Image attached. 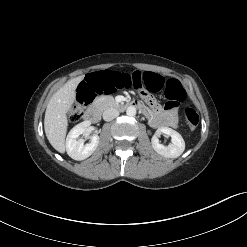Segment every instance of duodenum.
<instances>
[{
	"label": "duodenum",
	"instance_id": "1",
	"mask_svg": "<svg viewBox=\"0 0 247 247\" xmlns=\"http://www.w3.org/2000/svg\"><path fill=\"white\" fill-rule=\"evenodd\" d=\"M118 110H124L127 107H134L137 108L139 110H144L145 106L142 102L140 101H131L128 103H119L115 106ZM100 111L98 108L96 107H91L87 110L84 118L85 120L89 121V122H97L100 119Z\"/></svg>",
	"mask_w": 247,
	"mask_h": 247
}]
</instances>
